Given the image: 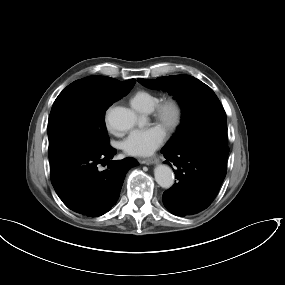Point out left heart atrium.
I'll use <instances>...</instances> for the list:
<instances>
[{"label":"left heart atrium","instance_id":"39dd6f15","mask_svg":"<svg viewBox=\"0 0 285 285\" xmlns=\"http://www.w3.org/2000/svg\"><path fill=\"white\" fill-rule=\"evenodd\" d=\"M166 138L160 125L133 130L123 141L122 148L130 156L146 157L161 146Z\"/></svg>","mask_w":285,"mask_h":285}]
</instances>
